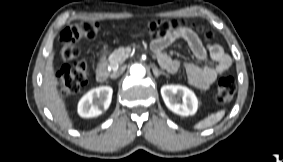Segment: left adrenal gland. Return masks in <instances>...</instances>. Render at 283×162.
<instances>
[{
    "label": "left adrenal gland",
    "instance_id": "1",
    "mask_svg": "<svg viewBox=\"0 0 283 162\" xmlns=\"http://www.w3.org/2000/svg\"><path fill=\"white\" fill-rule=\"evenodd\" d=\"M153 73L155 75L156 78H158L161 74L165 75L166 77H168V74H166L163 71H159L158 68L156 66L153 67Z\"/></svg>",
    "mask_w": 283,
    "mask_h": 162
}]
</instances>
